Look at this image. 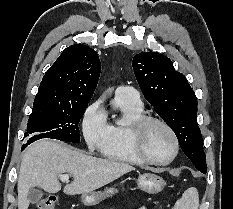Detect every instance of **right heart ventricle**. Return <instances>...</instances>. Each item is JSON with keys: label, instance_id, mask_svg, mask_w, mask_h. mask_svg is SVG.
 I'll return each mask as SVG.
<instances>
[{"label": "right heart ventricle", "instance_id": "right-heart-ventricle-1", "mask_svg": "<svg viewBox=\"0 0 233 209\" xmlns=\"http://www.w3.org/2000/svg\"><path fill=\"white\" fill-rule=\"evenodd\" d=\"M114 106L122 112L125 123L109 125V137L100 148L101 154L110 160L132 165H144L145 162L136 155L131 142L132 123L145 115L142 103L134 104L115 97Z\"/></svg>", "mask_w": 233, "mask_h": 209}]
</instances>
